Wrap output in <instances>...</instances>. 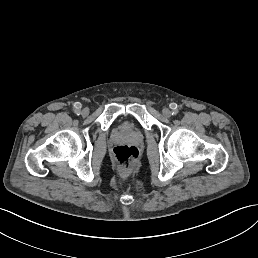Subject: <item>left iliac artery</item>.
Instances as JSON below:
<instances>
[{
    "label": "left iliac artery",
    "mask_w": 258,
    "mask_h": 258,
    "mask_svg": "<svg viewBox=\"0 0 258 258\" xmlns=\"http://www.w3.org/2000/svg\"><path fill=\"white\" fill-rule=\"evenodd\" d=\"M177 114H178V110L172 111V115H173V116H175V115H177Z\"/></svg>",
    "instance_id": "left-iliac-artery-1"
}]
</instances>
